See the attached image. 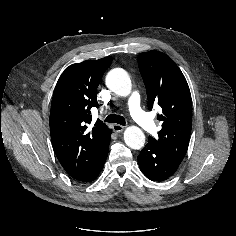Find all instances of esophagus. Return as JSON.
<instances>
[{"label":"esophagus","mask_w":236,"mask_h":236,"mask_svg":"<svg viewBox=\"0 0 236 236\" xmlns=\"http://www.w3.org/2000/svg\"><path fill=\"white\" fill-rule=\"evenodd\" d=\"M124 128H125L124 126L119 125V124H114L112 126L113 131L116 133L122 132L124 130Z\"/></svg>","instance_id":"1"}]
</instances>
